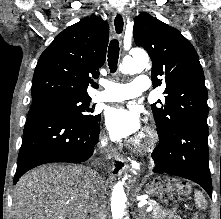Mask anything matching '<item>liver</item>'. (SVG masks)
<instances>
[{
  "mask_svg": "<svg viewBox=\"0 0 221 219\" xmlns=\"http://www.w3.org/2000/svg\"><path fill=\"white\" fill-rule=\"evenodd\" d=\"M93 173L85 166L57 164L29 171L15 186L11 216L13 219H73L90 212L96 200L105 211L107 182Z\"/></svg>",
  "mask_w": 221,
  "mask_h": 219,
  "instance_id": "1",
  "label": "liver"
}]
</instances>
